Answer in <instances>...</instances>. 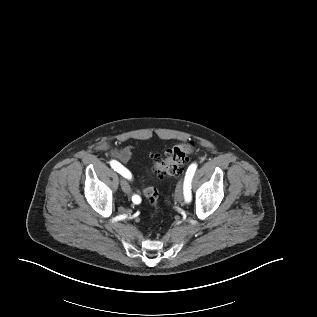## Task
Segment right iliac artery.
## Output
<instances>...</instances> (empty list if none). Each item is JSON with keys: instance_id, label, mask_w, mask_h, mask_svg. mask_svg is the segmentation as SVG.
Segmentation results:
<instances>
[{"instance_id": "1", "label": "right iliac artery", "mask_w": 317, "mask_h": 317, "mask_svg": "<svg viewBox=\"0 0 317 317\" xmlns=\"http://www.w3.org/2000/svg\"><path fill=\"white\" fill-rule=\"evenodd\" d=\"M110 165L115 171L120 173L123 177L131 179V173L126 168H124L119 162H117L116 160H111ZM132 201L135 204H139L141 202V199L138 195H134L132 196Z\"/></svg>"}]
</instances>
